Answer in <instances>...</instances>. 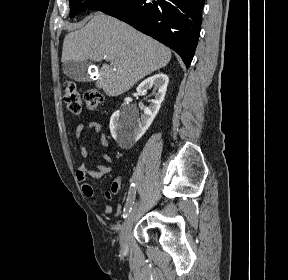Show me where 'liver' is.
Segmentation results:
<instances>
[{
	"mask_svg": "<svg viewBox=\"0 0 288 280\" xmlns=\"http://www.w3.org/2000/svg\"><path fill=\"white\" fill-rule=\"evenodd\" d=\"M105 56L110 64L102 65L96 86L108 96H118L165 67L171 51L130 25L96 12L84 27L66 35L61 61L101 62Z\"/></svg>",
	"mask_w": 288,
	"mask_h": 280,
	"instance_id": "liver-1",
	"label": "liver"
}]
</instances>
